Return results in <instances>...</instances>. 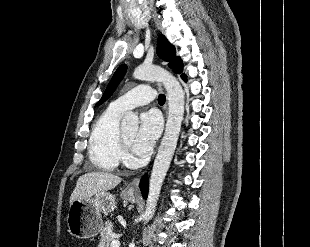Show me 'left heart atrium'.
<instances>
[{"label":"left heart atrium","instance_id":"left-heart-atrium-1","mask_svg":"<svg viewBox=\"0 0 310 247\" xmlns=\"http://www.w3.org/2000/svg\"><path fill=\"white\" fill-rule=\"evenodd\" d=\"M161 129V120L156 112L149 111L143 113L132 144L135 154L139 156L146 155L155 145L160 136Z\"/></svg>","mask_w":310,"mask_h":247}]
</instances>
